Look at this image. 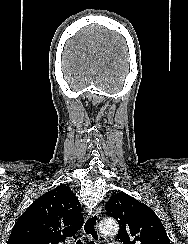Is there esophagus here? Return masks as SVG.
I'll list each match as a JSON object with an SVG mask.
<instances>
[{
	"label": "esophagus",
	"instance_id": "1",
	"mask_svg": "<svg viewBox=\"0 0 188 244\" xmlns=\"http://www.w3.org/2000/svg\"><path fill=\"white\" fill-rule=\"evenodd\" d=\"M101 209L97 207L93 213L89 214L83 224V233L88 240H92L94 244L99 243V233L97 230L98 220L100 218Z\"/></svg>",
	"mask_w": 188,
	"mask_h": 244
}]
</instances>
